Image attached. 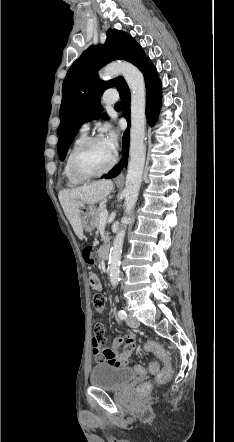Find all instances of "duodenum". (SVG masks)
Listing matches in <instances>:
<instances>
[{
    "label": "duodenum",
    "instance_id": "1",
    "mask_svg": "<svg viewBox=\"0 0 234 442\" xmlns=\"http://www.w3.org/2000/svg\"><path fill=\"white\" fill-rule=\"evenodd\" d=\"M109 253H110V246L106 245L104 246L101 251H100V255L103 261H106L109 257Z\"/></svg>",
    "mask_w": 234,
    "mask_h": 442
}]
</instances>
